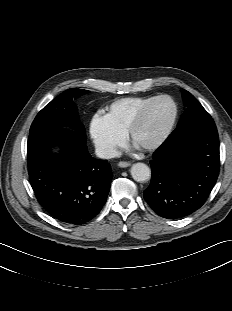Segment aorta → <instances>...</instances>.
I'll return each mask as SVG.
<instances>
[{"instance_id": "obj_1", "label": "aorta", "mask_w": 232, "mask_h": 311, "mask_svg": "<svg viewBox=\"0 0 232 311\" xmlns=\"http://www.w3.org/2000/svg\"><path fill=\"white\" fill-rule=\"evenodd\" d=\"M132 178L137 182H146L151 177L150 168L144 163H136L131 167Z\"/></svg>"}]
</instances>
